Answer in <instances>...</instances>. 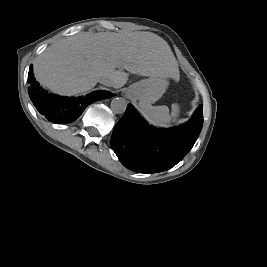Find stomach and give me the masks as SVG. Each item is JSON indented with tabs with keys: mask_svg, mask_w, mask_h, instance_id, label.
Returning <instances> with one entry per match:
<instances>
[{
	"mask_svg": "<svg viewBox=\"0 0 267 267\" xmlns=\"http://www.w3.org/2000/svg\"><path fill=\"white\" fill-rule=\"evenodd\" d=\"M168 87V81L162 77H149L132 84L127 94L144 103H155Z\"/></svg>",
	"mask_w": 267,
	"mask_h": 267,
	"instance_id": "1",
	"label": "stomach"
}]
</instances>
